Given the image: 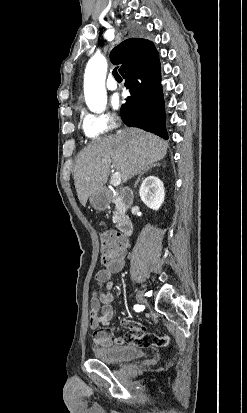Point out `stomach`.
Here are the masks:
<instances>
[{
    "label": "stomach",
    "mask_w": 247,
    "mask_h": 413,
    "mask_svg": "<svg viewBox=\"0 0 247 413\" xmlns=\"http://www.w3.org/2000/svg\"><path fill=\"white\" fill-rule=\"evenodd\" d=\"M90 204L94 209L97 211H105L107 209L108 204L111 202V196L107 190L101 188V190H96V192H92L89 196Z\"/></svg>",
    "instance_id": "0dacf381"
}]
</instances>
